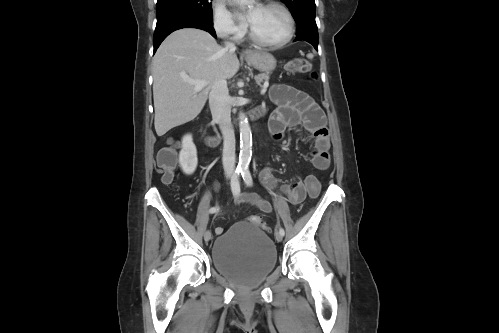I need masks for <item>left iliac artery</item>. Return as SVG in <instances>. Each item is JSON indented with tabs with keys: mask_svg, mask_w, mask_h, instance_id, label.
<instances>
[{
	"mask_svg": "<svg viewBox=\"0 0 499 333\" xmlns=\"http://www.w3.org/2000/svg\"><path fill=\"white\" fill-rule=\"evenodd\" d=\"M241 175L243 177L244 182L248 186H251L253 180H252V176H251V173H250V170H249L248 167H245V168L242 169ZM279 232L284 236L285 231H284V229L282 227H280Z\"/></svg>",
	"mask_w": 499,
	"mask_h": 333,
	"instance_id": "1",
	"label": "left iliac artery"
}]
</instances>
